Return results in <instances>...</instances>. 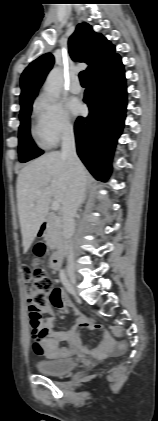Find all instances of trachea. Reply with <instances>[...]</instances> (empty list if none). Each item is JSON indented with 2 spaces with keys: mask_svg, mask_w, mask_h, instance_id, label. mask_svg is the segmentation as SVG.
I'll use <instances>...</instances> for the list:
<instances>
[{
  "mask_svg": "<svg viewBox=\"0 0 158 421\" xmlns=\"http://www.w3.org/2000/svg\"><path fill=\"white\" fill-rule=\"evenodd\" d=\"M80 82L81 84H87V73L85 71H82L79 74Z\"/></svg>",
  "mask_w": 158,
  "mask_h": 421,
  "instance_id": "1",
  "label": "trachea"
}]
</instances>
